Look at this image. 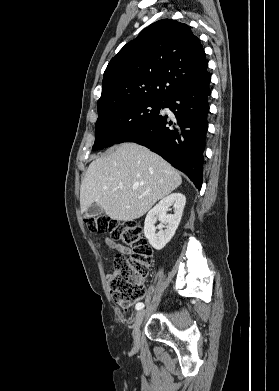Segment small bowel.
I'll return each instance as SVG.
<instances>
[{"label": "small bowel", "mask_w": 279, "mask_h": 391, "mask_svg": "<svg viewBox=\"0 0 279 391\" xmlns=\"http://www.w3.org/2000/svg\"><path fill=\"white\" fill-rule=\"evenodd\" d=\"M106 244L111 248L116 250L119 254L125 255L131 252L130 248L122 244L117 243L116 241L106 238Z\"/></svg>", "instance_id": "c3829d8e"}]
</instances>
